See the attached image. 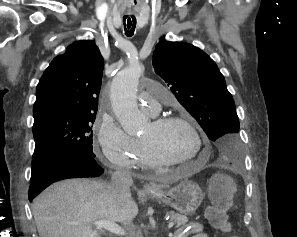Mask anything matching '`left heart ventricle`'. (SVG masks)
Returning a JSON list of instances; mask_svg holds the SVG:
<instances>
[{
    "label": "left heart ventricle",
    "instance_id": "b2bd125f",
    "mask_svg": "<svg viewBox=\"0 0 297 237\" xmlns=\"http://www.w3.org/2000/svg\"><path fill=\"white\" fill-rule=\"evenodd\" d=\"M141 140L152 143L163 155L171 160H183L197 151V142L190 129L182 123H169L160 127L149 122Z\"/></svg>",
    "mask_w": 297,
    "mask_h": 237
}]
</instances>
